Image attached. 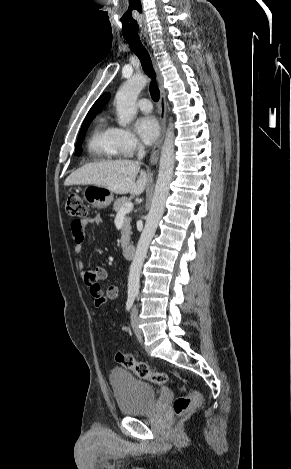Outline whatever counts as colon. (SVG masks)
I'll return each instance as SVG.
<instances>
[{
	"mask_svg": "<svg viewBox=\"0 0 291 469\" xmlns=\"http://www.w3.org/2000/svg\"><path fill=\"white\" fill-rule=\"evenodd\" d=\"M66 212L69 216L76 219H82L86 216V205L82 197L77 193L69 194L66 201ZM94 309L102 311L107 306L105 296L100 294L93 298ZM115 360L123 367L130 369L140 379H146L156 385H164L169 382V376L160 370L151 369L148 364L136 361L132 354L124 352H116ZM201 397L196 392H190L187 395L180 396L174 402V411L177 415H181L188 410L198 406Z\"/></svg>",
	"mask_w": 291,
	"mask_h": 469,
	"instance_id": "1",
	"label": "colon"
}]
</instances>
